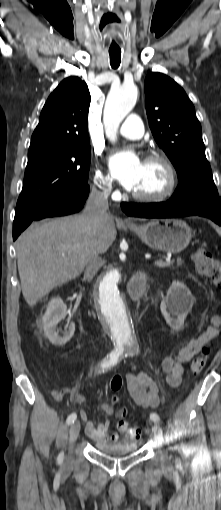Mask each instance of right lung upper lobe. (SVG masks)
<instances>
[{
	"label": "right lung upper lobe",
	"mask_w": 221,
	"mask_h": 510,
	"mask_svg": "<svg viewBox=\"0 0 221 510\" xmlns=\"http://www.w3.org/2000/svg\"><path fill=\"white\" fill-rule=\"evenodd\" d=\"M90 100L84 81L75 76L64 79L43 107L28 156L90 144L87 129Z\"/></svg>",
	"instance_id": "right-lung-upper-lobe-1"
}]
</instances>
